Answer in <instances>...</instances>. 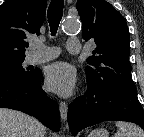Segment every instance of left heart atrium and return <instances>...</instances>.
I'll list each match as a JSON object with an SVG mask.
<instances>
[{
	"label": "left heart atrium",
	"instance_id": "obj_1",
	"mask_svg": "<svg viewBox=\"0 0 144 137\" xmlns=\"http://www.w3.org/2000/svg\"><path fill=\"white\" fill-rule=\"evenodd\" d=\"M76 85V71L65 62H58L46 71L47 88L61 96H69Z\"/></svg>",
	"mask_w": 144,
	"mask_h": 137
}]
</instances>
